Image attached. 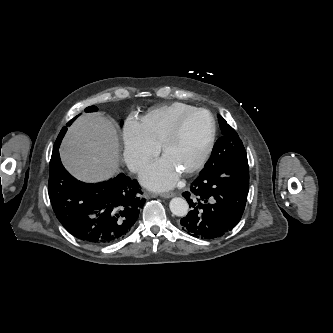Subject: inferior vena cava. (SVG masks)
<instances>
[{
    "label": "inferior vena cava",
    "instance_id": "obj_1",
    "mask_svg": "<svg viewBox=\"0 0 333 333\" xmlns=\"http://www.w3.org/2000/svg\"><path fill=\"white\" fill-rule=\"evenodd\" d=\"M128 168L131 172L136 173L139 171L140 165L137 163H131V164H129Z\"/></svg>",
    "mask_w": 333,
    "mask_h": 333
}]
</instances>
